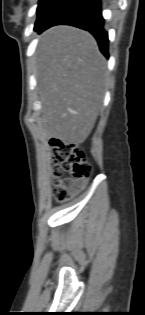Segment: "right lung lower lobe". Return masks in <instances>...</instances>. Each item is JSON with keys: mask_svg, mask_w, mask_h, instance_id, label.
I'll use <instances>...</instances> for the list:
<instances>
[{"mask_svg": "<svg viewBox=\"0 0 145 315\" xmlns=\"http://www.w3.org/2000/svg\"><path fill=\"white\" fill-rule=\"evenodd\" d=\"M71 25L89 31L96 38L100 51L108 57V34L103 28L104 19L100 0H67L38 31L55 25Z\"/></svg>", "mask_w": 145, "mask_h": 315, "instance_id": "obj_1", "label": "right lung lower lobe"}]
</instances>
